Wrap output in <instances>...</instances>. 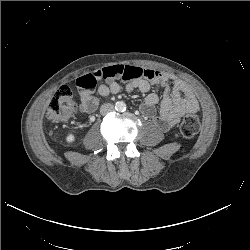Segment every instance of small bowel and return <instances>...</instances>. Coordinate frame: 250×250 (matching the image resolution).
I'll list each match as a JSON object with an SVG mask.
<instances>
[{
	"mask_svg": "<svg viewBox=\"0 0 250 250\" xmlns=\"http://www.w3.org/2000/svg\"><path fill=\"white\" fill-rule=\"evenodd\" d=\"M99 81H102V84L97 90L99 95L104 97L118 94L122 90L147 93L151 85L160 84L161 97L149 93L140 109L162 131L171 130L184 114L196 113L199 110L194 93L183 80L150 68L113 65L90 72L76 80L80 92L79 111L82 115L91 114L96 110L98 99L93 95V91ZM120 82H123V85Z\"/></svg>",
	"mask_w": 250,
	"mask_h": 250,
	"instance_id": "1",
	"label": "small bowel"
}]
</instances>
